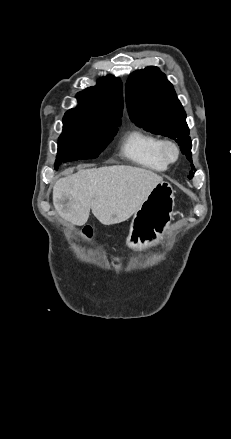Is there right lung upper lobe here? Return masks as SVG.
<instances>
[{
	"mask_svg": "<svg viewBox=\"0 0 231 439\" xmlns=\"http://www.w3.org/2000/svg\"><path fill=\"white\" fill-rule=\"evenodd\" d=\"M123 87L119 78L106 76L96 86L77 94L78 106L70 109L64 118H82L105 125L121 124Z\"/></svg>",
	"mask_w": 231,
	"mask_h": 439,
	"instance_id": "right-lung-upper-lobe-1",
	"label": "right lung upper lobe"
}]
</instances>
